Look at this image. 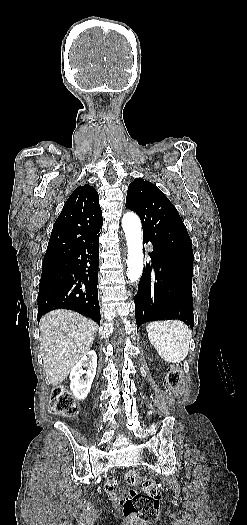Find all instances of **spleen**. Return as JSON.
Listing matches in <instances>:
<instances>
[{
    "mask_svg": "<svg viewBox=\"0 0 247 525\" xmlns=\"http://www.w3.org/2000/svg\"><path fill=\"white\" fill-rule=\"evenodd\" d=\"M149 341L167 363H181L189 353L191 333L182 321H154L146 327Z\"/></svg>",
    "mask_w": 247,
    "mask_h": 525,
    "instance_id": "3e777b00",
    "label": "spleen"
}]
</instances>
